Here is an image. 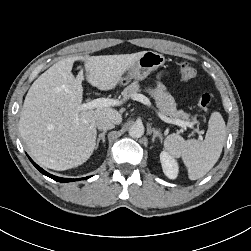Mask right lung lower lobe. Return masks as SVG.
Returning a JSON list of instances; mask_svg holds the SVG:
<instances>
[{
  "instance_id": "obj_1",
  "label": "right lung lower lobe",
  "mask_w": 251,
  "mask_h": 251,
  "mask_svg": "<svg viewBox=\"0 0 251 251\" xmlns=\"http://www.w3.org/2000/svg\"><path fill=\"white\" fill-rule=\"evenodd\" d=\"M30 159V161L32 162V164L44 175L54 179L55 181L58 182H72V181H79V180H84V179H88L89 177H85V178H79V179H69V178H61V177H57L54 176L52 174H49L48 172H46L45 170H43L41 167H39L30 157H28Z\"/></svg>"
}]
</instances>
